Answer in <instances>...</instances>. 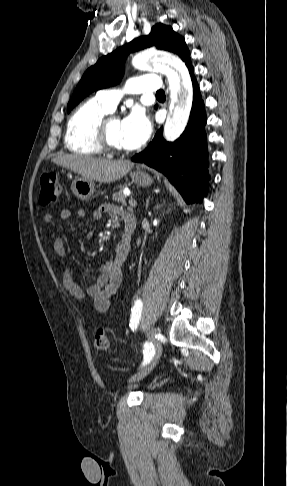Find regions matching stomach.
<instances>
[{"mask_svg":"<svg viewBox=\"0 0 287 486\" xmlns=\"http://www.w3.org/2000/svg\"><path fill=\"white\" fill-rule=\"evenodd\" d=\"M132 181L142 187H148L153 183L152 177L141 170L130 173ZM73 194L80 200H89L95 191V182L92 179L80 177L75 179L71 184Z\"/></svg>","mask_w":287,"mask_h":486,"instance_id":"obj_1","label":"stomach"}]
</instances>
